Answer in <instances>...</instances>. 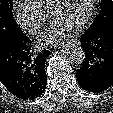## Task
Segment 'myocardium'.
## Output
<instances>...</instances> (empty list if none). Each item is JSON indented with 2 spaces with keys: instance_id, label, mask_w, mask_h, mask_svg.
<instances>
[{
  "instance_id": "myocardium-1",
  "label": "myocardium",
  "mask_w": 113,
  "mask_h": 113,
  "mask_svg": "<svg viewBox=\"0 0 113 113\" xmlns=\"http://www.w3.org/2000/svg\"><path fill=\"white\" fill-rule=\"evenodd\" d=\"M61 1L63 0H52L49 10H48V16L50 19H53L55 11L57 10ZM94 4H95V0H89L85 17L79 23L73 26L72 29L79 30V29L86 27L87 25L91 23L93 19V14H94Z\"/></svg>"
}]
</instances>
